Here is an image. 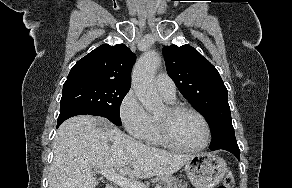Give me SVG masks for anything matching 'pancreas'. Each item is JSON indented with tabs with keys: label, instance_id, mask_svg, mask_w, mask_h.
<instances>
[{
	"label": "pancreas",
	"instance_id": "cf45deb5",
	"mask_svg": "<svg viewBox=\"0 0 292 188\" xmlns=\"http://www.w3.org/2000/svg\"><path fill=\"white\" fill-rule=\"evenodd\" d=\"M159 185L161 188H187V183L173 176L162 177Z\"/></svg>",
	"mask_w": 292,
	"mask_h": 188
}]
</instances>
